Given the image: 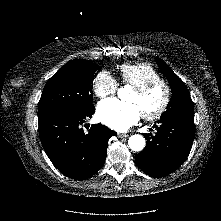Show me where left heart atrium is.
<instances>
[{
    "instance_id": "39dd6f15",
    "label": "left heart atrium",
    "mask_w": 221,
    "mask_h": 221,
    "mask_svg": "<svg viewBox=\"0 0 221 221\" xmlns=\"http://www.w3.org/2000/svg\"><path fill=\"white\" fill-rule=\"evenodd\" d=\"M97 116L106 126L125 131L140 119L141 111L134 103L106 99L98 104Z\"/></svg>"
}]
</instances>
